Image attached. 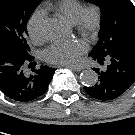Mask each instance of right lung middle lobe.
I'll use <instances>...</instances> for the list:
<instances>
[{
	"instance_id": "1",
	"label": "right lung middle lobe",
	"mask_w": 135,
	"mask_h": 135,
	"mask_svg": "<svg viewBox=\"0 0 135 135\" xmlns=\"http://www.w3.org/2000/svg\"><path fill=\"white\" fill-rule=\"evenodd\" d=\"M42 0H0V43L30 53L27 21Z\"/></svg>"
}]
</instances>
